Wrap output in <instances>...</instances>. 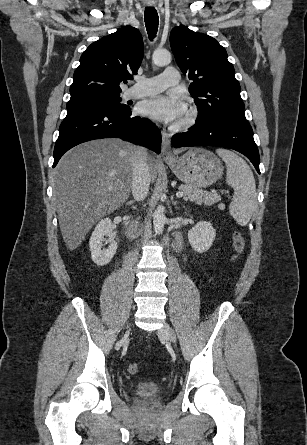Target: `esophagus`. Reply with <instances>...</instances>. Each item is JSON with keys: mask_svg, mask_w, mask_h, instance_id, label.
Wrapping results in <instances>:
<instances>
[{"mask_svg": "<svg viewBox=\"0 0 307 445\" xmlns=\"http://www.w3.org/2000/svg\"><path fill=\"white\" fill-rule=\"evenodd\" d=\"M154 6L155 3L150 4V7ZM161 153L164 158H175L170 145V135L166 132V130H162Z\"/></svg>", "mask_w": 307, "mask_h": 445, "instance_id": "1", "label": "esophagus"}]
</instances>
